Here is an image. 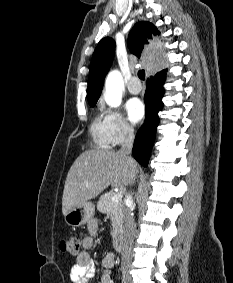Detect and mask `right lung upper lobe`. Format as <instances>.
<instances>
[{
    "mask_svg": "<svg viewBox=\"0 0 233 283\" xmlns=\"http://www.w3.org/2000/svg\"><path fill=\"white\" fill-rule=\"evenodd\" d=\"M159 31L150 22L142 21L135 24L128 36V47L137 57L141 53L148 54V59L169 58L173 49H165L167 38H158ZM115 41L111 37L103 38L97 45L90 64L87 99L89 105H95L100 97L104 78L110 68L114 57ZM163 54H165L163 56Z\"/></svg>",
    "mask_w": 233,
    "mask_h": 283,
    "instance_id": "1",
    "label": "right lung upper lobe"
}]
</instances>
